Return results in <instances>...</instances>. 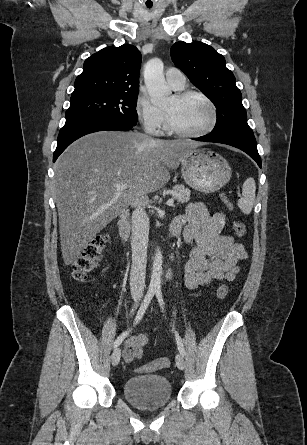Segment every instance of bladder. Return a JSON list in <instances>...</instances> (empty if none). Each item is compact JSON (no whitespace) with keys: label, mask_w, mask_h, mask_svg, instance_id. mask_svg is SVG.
Masks as SVG:
<instances>
[{"label":"bladder","mask_w":307,"mask_h":445,"mask_svg":"<svg viewBox=\"0 0 307 445\" xmlns=\"http://www.w3.org/2000/svg\"><path fill=\"white\" fill-rule=\"evenodd\" d=\"M125 399L142 410L165 407L172 398V386L159 374L138 375L128 378L122 387Z\"/></svg>","instance_id":"31cf9c89"}]
</instances>
